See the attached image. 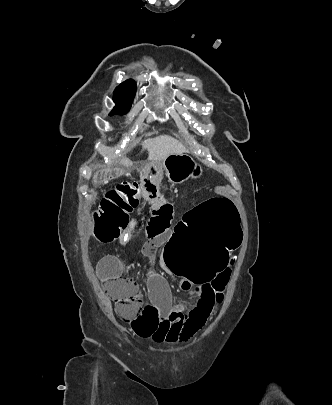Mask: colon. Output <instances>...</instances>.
<instances>
[{
	"mask_svg": "<svg viewBox=\"0 0 332 405\" xmlns=\"http://www.w3.org/2000/svg\"><path fill=\"white\" fill-rule=\"evenodd\" d=\"M140 184L122 182L105 194L93 215L95 239L109 243L128 228L130 213L142 201ZM176 225L164 249L163 268H168V275H180L181 281H193L195 287L211 281V316L224 299L231 274L228 257H235V250L241 249L237 203L229 197H207L205 202L191 205L187 220H177ZM104 287L121 317L134 320L138 311H143L141 293L133 279L112 277Z\"/></svg>",
	"mask_w": 332,
	"mask_h": 405,
	"instance_id": "colon-1",
	"label": "colon"
}]
</instances>
